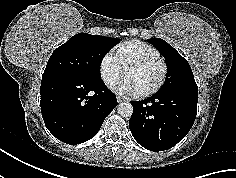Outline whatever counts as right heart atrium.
Instances as JSON below:
<instances>
[{
    "mask_svg": "<svg viewBox=\"0 0 236 178\" xmlns=\"http://www.w3.org/2000/svg\"><path fill=\"white\" fill-rule=\"evenodd\" d=\"M124 69L112 52H106L99 62V74L103 83L111 87L123 75Z\"/></svg>",
    "mask_w": 236,
    "mask_h": 178,
    "instance_id": "obj_1",
    "label": "right heart atrium"
}]
</instances>
